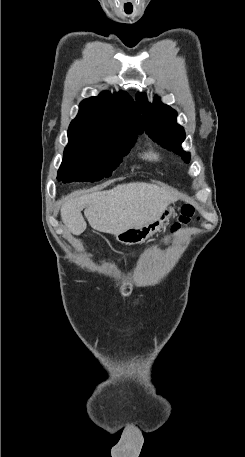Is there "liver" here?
Wrapping results in <instances>:
<instances>
[{
    "label": "liver",
    "instance_id": "obj_1",
    "mask_svg": "<svg viewBox=\"0 0 245 457\" xmlns=\"http://www.w3.org/2000/svg\"><path fill=\"white\" fill-rule=\"evenodd\" d=\"M176 196L150 182L117 184L110 190H95L90 194L65 196L60 208L61 218L72 235H81L86 220L100 233H121L131 226H141L160 216Z\"/></svg>",
    "mask_w": 245,
    "mask_h": 457
}]
</instances>
